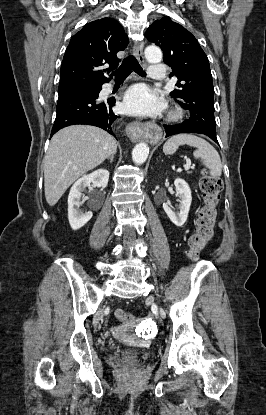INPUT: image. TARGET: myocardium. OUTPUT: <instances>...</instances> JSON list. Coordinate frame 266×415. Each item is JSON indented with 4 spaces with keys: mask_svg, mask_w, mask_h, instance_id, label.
I'll list each match as a JSON object with an SVG mask.
<instances>
[{
    "mask_svg": "<svg viewBox=\"0 0 266 415\" xmlns=\"http://www.w3.org/2000/svg\"><path fill=\"white\" fill-rule=\"evenodd\" d=\"M183 116V111L180 108H173L170 112H169V119L170 120H178Z\"/></svg>",
    "mask_w": 266,
    "mask_h": 415,
    "instance_id": "f54148a6",
    "label": "myocardium"
}]
</instances>
